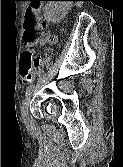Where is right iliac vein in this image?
Masks as SVG:
<instances>
[{"instance_id":"1","label":"right iliac vein","mask_w":123,"mask_h":167,"mask_svg":"<svg viewBox=\"0 0 123 167\" xmlns=\"http://www.w3.org/2000/svg\"><path fill=\"white\" fill-rule=\"evenodd\" d=\"M30 99H31V94H29L25 100L23 101L22 107H21V113L22 116L25 118L28 114V107H29V103H30Z\"/></svg>"}]
</instances>
